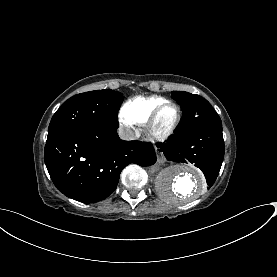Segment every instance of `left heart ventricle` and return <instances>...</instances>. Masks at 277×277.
Segmentation results:
<instances>
[{"label":"left heart ventricle","mask_w":277,"mask_h":277,"mask_svg":"<svg viewBox=\"0 0 277 277\" xmlns=\"http://www.w3.org/2000/svg\"><path fill=\"white\" fill-rule=\"evenodd\" d=\"M176 114L177 112L174 106H168L165 109H163L159 115L156 124V130L158 132L163 133L170 129L176 120Z\"/></svg>","instance_id":"1"}]
</instances>
